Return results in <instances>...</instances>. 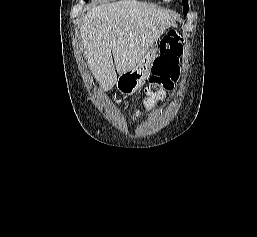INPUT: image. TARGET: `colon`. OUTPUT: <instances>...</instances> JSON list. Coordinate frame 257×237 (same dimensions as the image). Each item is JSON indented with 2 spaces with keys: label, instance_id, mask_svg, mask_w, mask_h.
<instances>
[{
  "label": "colon",
  "instance_id": "1",
  "mask_svg": "<svg viewBox=\"0 0 257 237\" xmlns=\"http://www.w3.org/2000/svg\"><path fill=\"white\" fill-rule=\"evenodd\" d=\"M183 54L181 37L169 31L161 40L159 55L156 57L146 87V105L163 97L166 91L172 90L179 76V63Z\"/></svg>",
  "mask_w": 257,
  "mask_h": 237
}]
</instances>
